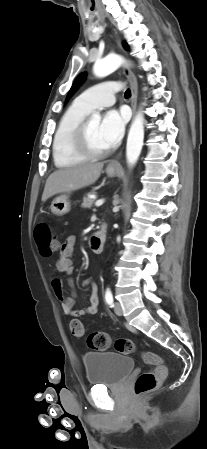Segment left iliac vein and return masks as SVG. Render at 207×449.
<instances>
[{"label":"left iliac vein","instance_id":"4c4485c4","mask_svg":"<svg viewBox=\"0 0 207 449\" xmlns=\"http://www.w3.org/2000/svg\"><path fill=\"white\" fill-rule=\"evenodd\" d=\"M114 311L118 316H122L123 311H122L121 304L119 302H116L114 304Z\"/></svg>","mask_w":207,"mask_h":449}]
</instances>
